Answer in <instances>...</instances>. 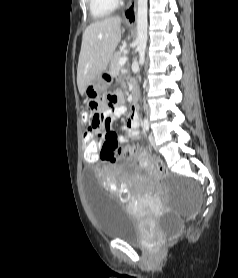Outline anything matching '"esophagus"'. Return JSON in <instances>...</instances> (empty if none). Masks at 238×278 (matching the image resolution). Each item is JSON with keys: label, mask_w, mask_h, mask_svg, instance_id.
I'll use <instances>...</instances> for the list:
<instances>
[{"label": "esophagus", "mask_w": 238, "mask_h": 278, "mask_svg": "<svg viewBox=\"0 0 238 278\" xmlns=\"http://www.w3.org/2000/svg\"><path fill=\"white\" fill-rule=\"evenodd\" d=\"M137 0H130L123 14L124 20L128 24H132L136 20Z\"/></svg>", "instance_id": "34e87169"}]
</instances>
